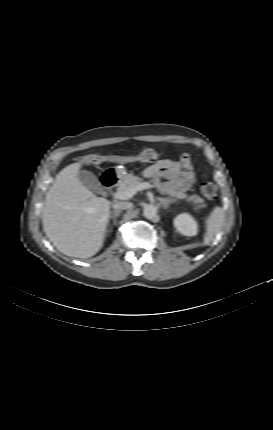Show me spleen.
I'll list each match as a JSON object with an SVG mask.
<instances>
[{"label": "spleen", "instance_id": "1", "mask_svg": "<svg viewBox=\"0 0 273 430\" xmlns=\"http://www.w3.org/2000/svg\"><path fill=\"white\" fill-rule=\"evenodd\" d=\"M224 225V210L222 207H215L211 211L206 220V235L204 237V244L208 245L218 234Z\"/></svg>", "mask_w": 273, "mask_h": 430}]
</instances>
